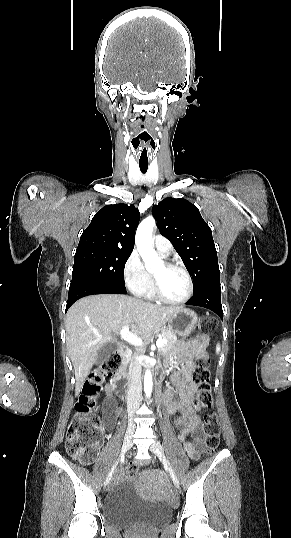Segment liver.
<instances>
[{"label":"liver","mask_w":291,"mask_h":538,"mask_svg":"<svg viewBox=\"0 0 291 538\" xmlns=\"http://www.w3.org/2000/svg\"><path fill=\"white\" fill-rule=\"evenodd\" d=\"M180 309L120 294L88 296L73 304L66 315V345L75 371L76 395L96 363L98 351L106 343L116 342L118 330L128 326L131 333L146 340Z\"/></svg>","instance_id":"6515ba94"}]
</instances>
